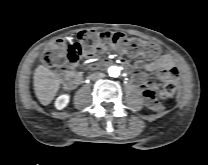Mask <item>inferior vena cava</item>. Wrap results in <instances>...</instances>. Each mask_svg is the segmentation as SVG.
Instances as JSON below:
<instances>
[{"instance_id": "obj_1", "label": "inferior vena cava", "mask_w": 208, "mask_h": 165, "mask_svg": "<svg viewBox=\"0 0 208 165\" xmlns=\"http://www.w3.org/2000/svg\"><path fill=\"white\" fill-rule=\"evenodd\" d=\"M104 76L105 75L101 72H95L90 75V79L94 80V81H98V80H101L102 78H104Z\"/></svg>"}]
</instances>
